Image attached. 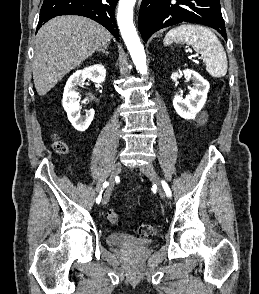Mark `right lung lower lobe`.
I'll return each mask as SVG.
<instances>
[{
  "label": "right lung lower lobe",
  "instance_id": "1",
  "mask_svg": "<svg viewBox=\"0 0 259 294\" xmlns=\"http://www.w3.org/2000/svg\"><path fill=\"white\" fill-rule=\"evenodd\" d=\"M117 2L118 0H44L37 30L58 15H82L97 21L119 39L114 18Z\"/></svg>",
  "mask_w": 259,
  "mask_h": 294
}]
</instances>
